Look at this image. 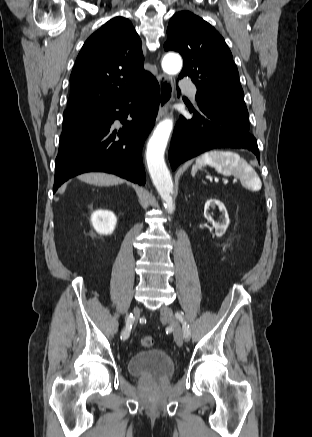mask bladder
<instances>
[{
  "label": "bladder",
  "instance_id": "obj_1",
  "mask_svg": "<svg viewBox=\"0 0 312 437\" xmlns=\"http://www.w3.org/2000/svg\"><path fill=\"white\" fill-rule=\"evenodd\" d=\"M130 375L135 377H152L164 379L175 372L172 358L162 349L141 350L132 355L127 362Z\"/></svg>",
  "mask_w": 312,
  "mask_h": 437
}]
</instances>
